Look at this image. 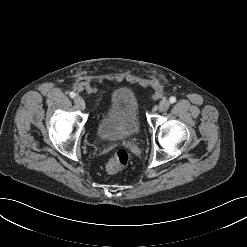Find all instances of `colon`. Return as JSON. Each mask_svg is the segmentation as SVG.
I'll list each match as a JSON object with an SVG mask.
<instances>
[{
    "label": "colon",
    "mask_w": 247,
    "mask_h": 247,
    "mask_svg": "<svg viewBox=\"0 0 247 247\" xmlns=\"http://www.w3.org/2000/svg\"><path fill=\"white\" fill-rule=\"evenodd\" d=\"M130 161L128 152L124 149H117L107 160L105 169L110 174H115L124 169Z\"/></svg>",
    "instance_id": "colon-1"
}]
</instances>
